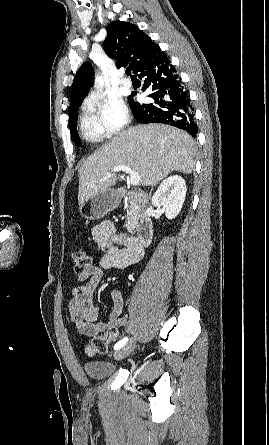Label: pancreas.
<instances>
[{
	"mask_svg": "<svg viewBox=\"0 0 269 445\" xmlns=\"http://www.w3.org/2000/svg\"><path fill=\"white\" fill-rule=\"evenodd\" d=\"M128 202L130 206L126 214L125 227L127 228L128 232L133 234L138 224L139 218L141 217V210L138 202L131 199Z\"/></svg>",
	"mask_w": 269,
	"mask_h": 445,
	"instance_id": "obj_1",
	"label": "pancreas"
}]
</instances>
